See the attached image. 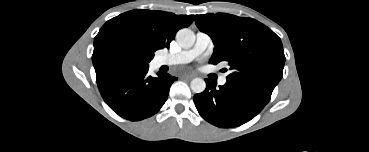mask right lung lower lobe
Listing matches in <instances>:
<instances>
[{"label":"right lung lower lobe","instance_id":"1","mask_svg":"<svg viewBox=\"0 0 369 152\" xmlns=\"http://www.w3.org/2000/svg\"><path fill=\"white\" fill-rule=\"evenodd\" d=\"M148 68H137L97 81L106 104L121 117L137 121L157 113L167 100L177 78L168 73L147 75Z\"/></svg>","mask_w":369,"mask_h":152}]
</instances>
